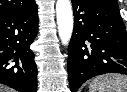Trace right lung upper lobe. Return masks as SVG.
<instances>
[{
    "label": "right lung upper lobe",
    "mask_w": 127,
    "mask_h": 92,
    "mask_svg": "<svg viewBox=\"0 0 127 92\" xmlns=\"http://www.w3.org/2000/svg\"><path fill=\"white\" fill-rule=\"evenodd\" d=\"M35 5V0H0V16L27 10Z\"/></svg>",
    "instance_id": "cb5924a9"
}]
</instances>
